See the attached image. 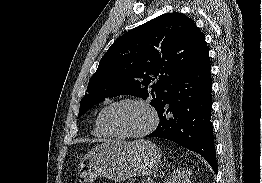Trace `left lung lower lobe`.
I'll return each mask as SVG.
<instances>
[{
    "label": "left lung lower lobe",
    "mask_w": 262,
    "mask_h": 183,
    "mask_svg": "<svg viewBox=\"0 0 262 183\" xmlns=\"http://www.w3.org/2000/svg\"><path fill=\"white\" fill-rule=\"evenodd\" d=\"M211 88L207 47L173 81L167 99L157 110L158 127L148 137L168 139L200 154L217 174Z\"/></svg>",
    "instance_id": "0a47b994"
}]
</instances>
